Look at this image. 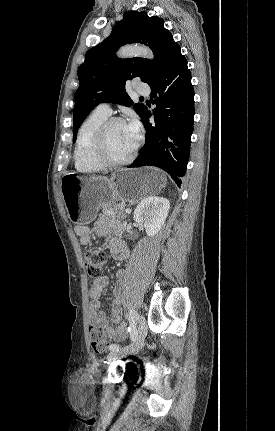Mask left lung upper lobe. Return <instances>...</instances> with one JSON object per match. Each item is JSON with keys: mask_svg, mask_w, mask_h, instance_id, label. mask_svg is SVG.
<instances>
[{"mask_svg": "<svg viewBox=\"0 0 275 431\" xmlns=\"http://www.w3.org/2000/svg\"><path fill=\"white\" fill-rule=\"evenodd\" d=\"M128 43L149 46L155 59H119L116 50ZM177 45L172 34L164 28L161 18L149 17L145 12H126L111 35L86 53L85 61L78 69L80 84L74 96L73 142L82 121L99 103L131 106L133 101L125 91L126 81L140 77L143 82L149 83L164 68ZM134 110L143 118L146 106L137 103Z\"/></svg>", "mask_w": 275, "mask_h": 431, "instance_id": "left-lung-upper-lobe-1", "label": "left lung upper lobe"}]
</instances>
